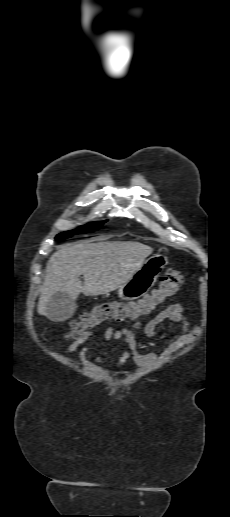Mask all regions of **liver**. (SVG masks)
Wrapping results in <instances>:
<instances>
[{
  "label": "liver",
  "mask_w": 230,
  "mask_h": 517,
  "mask_svg": "<svg viewBox=\"0 0 230 517\" xmlns=\"http://www.w3.org/2000/svg\"><path fill=\"white\" fill-rule=\"evenodd\" d=\"M153 252L138 242H83L66 244L48 260L38 302V313L46 315V304L56 293L76 299L97 296L121 287ZM84 276L82 284L79 277Z\"/></svg>",
  "instance_id": "1"
}]
</instances>
